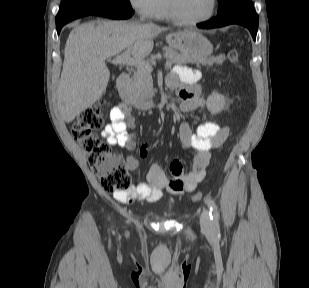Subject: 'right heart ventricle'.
Here are the masks:
<instances>
[{
    "instance_id": "1",
    "label": "right heart ventricle",
    "mask_w": 309,
    "mask_h": 288,
    "mask_svg": "<svg viewBox=\"0 0 309 288\" xmlns=\"http://www.w3.org/2000/svg\"><path fill=\"white\" fill-rule=\"evenodd\" d=\"M157 17L158 18H167L168 17L166 7H165V0H163V3L161 5V8H160L158 14H157Z\"/></svg>"
}]
</instances>
